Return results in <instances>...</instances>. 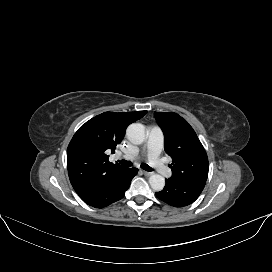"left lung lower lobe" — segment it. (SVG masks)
<instances>
[{
	"instance_id": "0a47b994",
	"label": "left lung lower lobe",
	"mask_w": 272,
	"mask_h": 272,
	"mask_svg": "<svg viewBox=\"0 0 272 272\" xmlns=\"http://www.w3.org/2000/svg\"><path fill=\"white\" fill-rule=\"evenodd\" d=\"M205 183V181H170L166 179L164 189L156 192V196L171 206H187L199 197Z\"/></svg>"
}]
</instances>
